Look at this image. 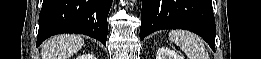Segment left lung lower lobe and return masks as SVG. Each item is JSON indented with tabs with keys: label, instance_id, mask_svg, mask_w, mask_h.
Masks as SVG:
<instances>
[{
	"label": "left lung lower lobe",
	"instance_id": "1",
	"mask_svg": "<svg viewBox=\"0 0 261 59\" xmlns=\"http://www.w3.org/2000/svg\"><path fill=\"white\" fill-rule=\"evenodd\" d=\"M161 29L192 31L215 51V18L211 0H143L140 39Z\"/></svg>",
	"mask_w": 261,
	"mask_h": 59
}]
</instances>
